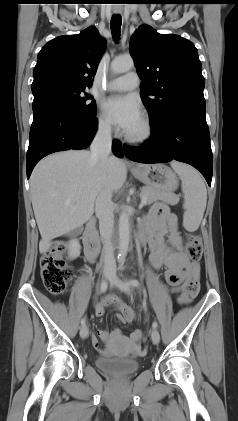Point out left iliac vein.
<instances>
[{"instance_id":"4c4485c4","label":"left iliac vein","mask_w":238,"mask_h":421,"mask_svg":"<svg viewBox=\"0 0 238 421\" xmlns=\"http://www.w3.org/2000/svg\"><path fill=\"white\" fill-rule=\"evenodd\" d=\"M108 280L112 285L117 286L123 292L129 294L130 293V286L128 283L122 281L116 274L115 266H112L109 273H108ZM151 339L152 342L157 345L160 342V334L157 329H152L151 331Z\"/></svg>"}]
</instances>
